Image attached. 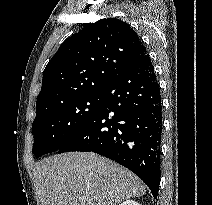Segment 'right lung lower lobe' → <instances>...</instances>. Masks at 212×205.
Wrapping results in <instances>:
<instances>
[{
	"label": "right lung lower lobe",
	"mask_w": 212,
	"mask_h": 205,
	"mask_svg": "<svg viewBox=\"0 0 212 205\" xmlns=\"http://www.w3.org/2000/svg\"><path fill=\"white\" fill-rule=\"evenodd\" d=\"M101 94L96 113L57 152H95L110 158L141 178L156 198L162 105L149 55L121 71Z\"/></svg>",
	"instance_id": "right-lung-lower-lobe-1"
}]
</instances>
